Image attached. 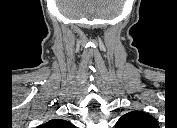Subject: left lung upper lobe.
I'll use <instances>...</instances> for the list:
<instances>
[{"label": "left lung upper lobe", "instance_id": "left-lung-upper-lobe-1", "mask_svg": "<svg viewBox=\"0 0 177 128\" xmlns=\"http://www.w3.org/2000/svg\"><path fill=\"white\" fill-rule=\"evenodd\" d=\"M154 117L143 111H132L123 115L117 122L116 128H157Z\"/></svg>", "mask_w": 177, "mask_h": 128}]
</instances>
